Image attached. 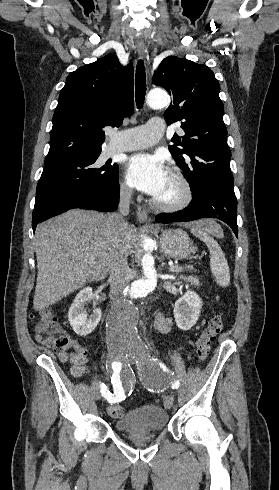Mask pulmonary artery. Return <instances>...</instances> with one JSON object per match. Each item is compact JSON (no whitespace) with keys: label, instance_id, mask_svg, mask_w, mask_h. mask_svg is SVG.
I'll return each instance as SVG.
<instances>
[{"label":"pulmonary artery","instance_id":"1","mask_svg":"<svg viewBox=\"0 0 279 490\" xmlns=\"http://www.w3.org/2000/svg\"><path fill=\"white\" fill-rule=\"evenodd\" d=\"M147 126L135 128H112V147L114 153L129 152L155 144L165 124L160 117H147Z\"/></svg>","mask_w":279,"mask_h":490}]
</instances>
